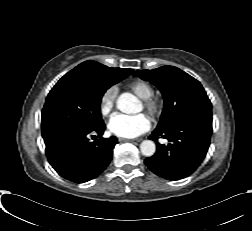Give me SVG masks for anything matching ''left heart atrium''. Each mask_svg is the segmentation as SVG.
Listing matches in <instances>:
<instances>
[{
  "label": "left heart atrium",
  "instance_id": "1",
  "mask_svg": "<svg viewBox=\"0 0 252 231\" xmlns=\"http://www.w3.org/2000/svg\"><path fill=\"white\" fill-rule=\"evenodd\" d=\"M150 127L151 122L144 114H115L108 124L110 132L122 138H135L147 132Z\"/></svg>",
  "mask_w": 252,
  "mask_h": 231
}]
</instances>
